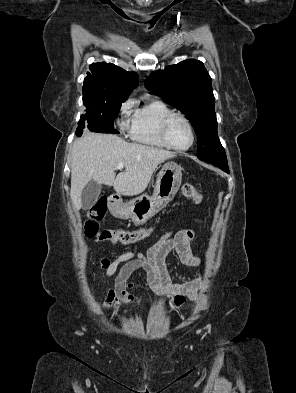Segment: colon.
<instances>
[{
  "instance_id": "1",
  "label": "colon",
  "mask_w": 296,
  "mask_h": 393,
  "mask_svg": "<svg viewBox=\"0 0 296 393\" xmlns=\"http://www.w3.org/2000/svg\"><path fill=\"white\" fill-rule=\"evenodd\" d=\"M182 194L191 199L194 203H201L202 196L191 183H184L181 188ZM107 211L106 199H100L89 210L84 223L85 235L94 238L99 242H108L112 244H130L143 240L150 236V230L146 228L128 230V229H100L99 221L102 220Z\"/></svg>"
}]
</instances>
